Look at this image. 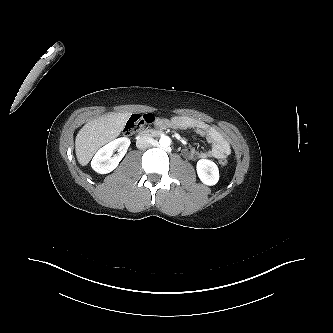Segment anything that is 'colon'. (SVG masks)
I'll list each match as a JSON object with an SVG mask.
<instances>
[{
	"mask_svg": "<svg viewBox=\"0 0 333 333\" xmlns=\"http://www.w3.org/2000/svg\"><path fill=\"white\" fill-rule=\"evenodd\" d=\"M155 118L152 114H144V115H134L127 122L124 134L130 135L133 134L137 129L141 127H146L153 123ZM218 163L221 167H226L228 165V159L225 156L219 158Z\"/></svg>",
	"mask_w": 333,
	"mask_h": 333,
	"instance_id": "obj_1",
	"label": "colon"
}]
</instances>
